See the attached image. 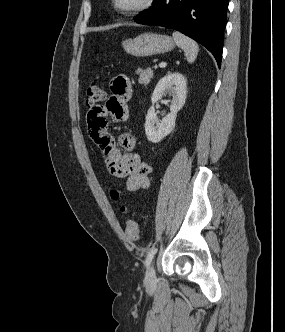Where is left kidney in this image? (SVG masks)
<instances>
[{"instance_id":"5707ae66","label":"left kidney","mask_w":285,"mask_h":332,"mask_svg":"<svg viewBox=\"0 0 285 332\" xmlns=\"http://www.w3.org/2000/svg\"><path fill=\"white\" fill-rule=\"evenodd\" d=\"M165 92L172 96L170 113L159 121L154 104L163 97ZM185 100L186 80L181 73H170L160 79L152 94V106L147 112L145 121V133L150 142L158 143L173 131L177 113L185 104Z\"/></svg>"}]
</instances>
